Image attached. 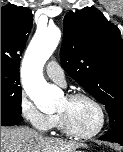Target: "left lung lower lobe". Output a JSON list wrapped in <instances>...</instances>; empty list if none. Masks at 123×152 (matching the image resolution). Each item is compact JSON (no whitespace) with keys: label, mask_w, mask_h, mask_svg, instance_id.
<instances>
[{"label":"left lung lower lobe","mask_w":123,"mask_h":152,"mask_svg":"<svg viewBox=\"0 0 123 152\" xmlns=\"http://www.w3.org/2000/svg\"><path fill=\"white\" fill-rule=\"evenodd\" d=\"M100 140L113 141L123 145V125L113 129V132L103 135Z\"/></svg>","instance_id":"left-lung-lower-lobe-1"}]
</instances>
